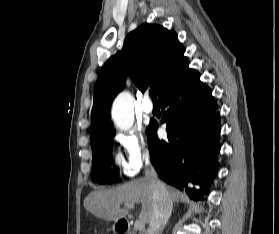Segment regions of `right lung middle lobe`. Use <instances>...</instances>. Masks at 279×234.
<instances>
[{
    "mask_svg": "<svg viewBox=\"0 0 279 234\" xmlns=\"http://www.w3.org/2000/svg\"><path fill=\"white\" fill-rule=\"evenodd\" d=\"M113 135L114 132L99 139L91 145L93 152L91 177L94 182L103 184L118 181L113 172L110 170L109 162L111 158Z\"/></svg>",
    "mask_w": 279,
    "mask_h": 234,
    "instance_id": "dd1d6c3e",
    "label": "right lung middle lobe"
}]
</instances>
